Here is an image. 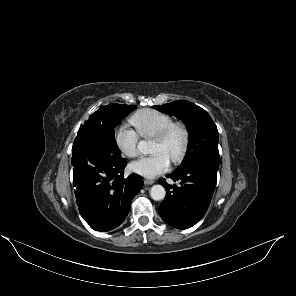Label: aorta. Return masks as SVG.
<instances>
[{
	"label": "aorta",
	"instance_id": "obj_1",
	"mask_svg": "<svg viewBox=\"0 0 296 296\" xmlns=\"http://www.w3.org/2000/svg\"><path fill=\"white\" fill-rule=\"evenodd\" d=\"M138 148L141 151H146L148 149V143L146 141H140L138 144ZM166 191L162 185H153L150 189V196L155 201H160L165 198Z\"/></svg>",
	"mask_w": 296,
	"mask_h": 296
}]
</instances>
